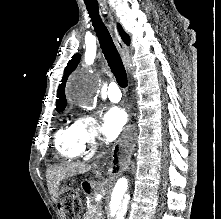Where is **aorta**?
Instances as JSON below:
<instances>
[{"label": "aorta", "instance_id": "aorta-1", "mask_svg": "<svg viewBox=\"0 0 221 219\" xmlns=\"http://www.w3.org/2000/svg\"><path fill=\"white\" fill-rule=\"evenodd\" d=\"M95 85L88 76L80 75L73 82L70 94L82 102H90ZM130 176L124 175L117 181L111 198V214L115 219H124L130 201Z\"/></svg>", "mask_w": 221, "mask_h": 219}]
</instances>
